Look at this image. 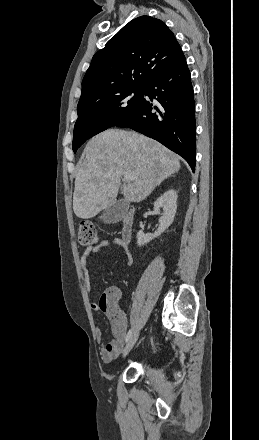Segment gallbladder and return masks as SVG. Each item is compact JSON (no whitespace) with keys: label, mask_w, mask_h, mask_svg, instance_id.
<instances>
[{"label":"gallbladder","mask_w":259,"mask_h":440,"mask_svg":"<svg viewBox=\"0 0 259 440\" xmlns=\"http://www.w3.org/2000/svg\"><path fill=\"white\" fill-rule=\"evenodd\" d=\"M127 206L123 200L116 201L100 215V220L105 224H115L126 214Z\"/></svg>","instance_id":"bac80fb5"}]
</instances>
